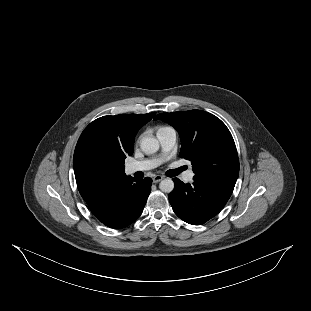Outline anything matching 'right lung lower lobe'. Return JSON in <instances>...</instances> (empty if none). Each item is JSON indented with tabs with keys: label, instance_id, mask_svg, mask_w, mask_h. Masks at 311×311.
Wrapping results in <instances>:
<instances>
[{
	"label": "right lung lower lobe",
	"instance_id": "1",
	"mask_svg": "<svg viewBox=\"0 0 311 311\" xmlns=\"http://www.w3.org/2000/svg\"><path fill=\"white\" fill-rule=\"evenodd\" d=\"M152 179H126L87 202L91 212L110 228L121 229L142 213L151 191Z\"/></svg>",
	"mask_w": 311,
	"mask_h": 311
}]
</instances>
